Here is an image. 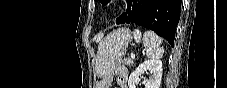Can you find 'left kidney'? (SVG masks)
<instances>
[{
  "instance_id": "1",
  "label": "left kidney",
  "mask_w": 227,
  "mask_h": 88,
  "mask_svg": "<svg viewBox=\"0 0 227 88\" xmlns=\"http://www.w3.org/2000/svg\"><path fill=\"white\" fill-rule=\"evenodd\" d=\"M144 73H150L149 79L143 81L145 88H159L162 78V61L159 59H153L141 63L129 76V88H136V85L140 81L139 77Z\"/></svg>"
}]
</instances>
